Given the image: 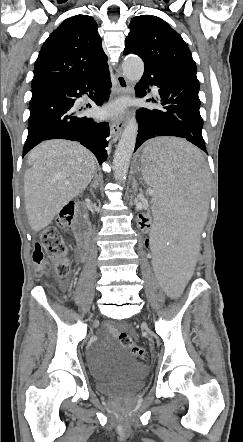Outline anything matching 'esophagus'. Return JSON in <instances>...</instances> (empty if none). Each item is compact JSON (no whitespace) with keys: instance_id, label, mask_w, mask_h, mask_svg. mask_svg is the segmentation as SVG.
<instances>
[{"instance_id":"esophagus-1","label":"esophagus","mask_w":243,"mask_h":442,"mask_svg":"<svg viewBox=\"0 0 243 442\" xmlns=\"http://www.w3.org/2000/svg\"><path fill=\"white\" fill-rule=\"evenodd\" d=\"M117 90L116 94L127 95L129 93V83L127 79L119 72L116 75ZM125 126V117L120 116L110 126V133L114 136V141L117 140Z\"/></svg>"}]
</instances>
